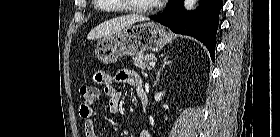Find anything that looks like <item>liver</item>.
Instances as JSON below:
<instances>
[{
	"label": "liver",
	"instance_id": "obj_1",
	"mask_svg": "<svg viewBox=\"0 0 280 137\" xmlns=\"http://www.w3.org/2000/svg\"><path fill=\"white\" fill-rule=\"evenodd\" d=\"M144 16L130 14L105 21L93 28L87 35L88 40L110 37L136 22L147 21Z\"/></svg>",
	"mask_w": 280,
	"mask_h": 137
}]
</instances>
